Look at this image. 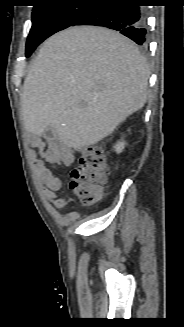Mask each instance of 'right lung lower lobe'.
Masks as SVG:
<instances>
[{"instance_id":"obj_1","label":"right lung lower lobe","mask_w":184,"mask_h":327,"mask_svg":"<svg viewBox=\"0 0 184 327\" xmlns=\"http://www.w3.org/2000/svg\"><path fill=\"white\" fill-rule=\"evenodd\" d=\"M131 0H94L75 25H95L119 31L139 45L146 42L145 12Z\"/></svg>"}]
</instances>
